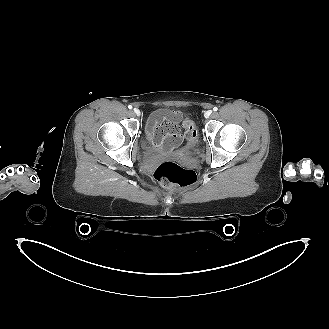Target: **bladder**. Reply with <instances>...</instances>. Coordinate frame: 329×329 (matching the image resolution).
I'll return each mask as SVG.
<instances>
[{
  "instance_id": "1",
  "label": "bladder",
  "mask_w": 329,
  "mask_h": 329,
  "mask_svg": "<svg viewBox=\"0 0 329 329\" xmlns=\"http://www.w3.org/2000/svg\"><path fill=\"white\" fill-rule=\"evenodd\" d=\"M157 112H160L162 114H165L167 116H172L174 114V111L171 109H160ZM142 145L144 150L146 151H153V146L151 144V140L149 135H146L143 138ZM184 157L192 158L195 154V144L188 150H183L181 153Z\"/></svg>"
}]
</instances>
